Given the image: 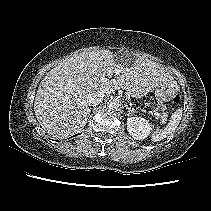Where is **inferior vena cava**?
<instances>
[{"mask_svg":"<svg viewBox=\"0 0 211 211\" xmlns=\"http://www.w3.org/2000/svg\"><path fill=\"white\" fill-rule=\"evenodd\" d=\"M104 96L105 95L103 93H96V94L89 96L88 105L95 106V105L101 103L103 101Z\"/></svg>","mask_w":211,"mask_h":211,"instance_id":"1","label":"inferior vena cava"}]
</instances>
